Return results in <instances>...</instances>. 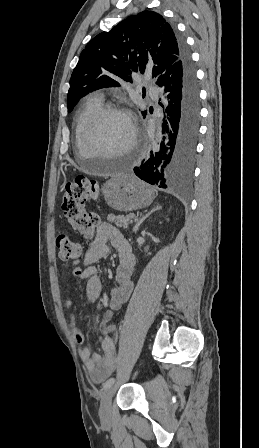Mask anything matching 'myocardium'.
Returning a JSON list of instances; mask_svg holds the SVG:
<instances>
[{"label":"myocardium","instance_id":"obj_1","mask_svg":"<svg viewBox=\"0 0 259 448\" xmlns=\"http://www.w3.org/2000/svg\"><path fill=\"white\" fill-rule=\"evenodd\" d=\"M113 114L124 117L129 122L132 130L130 143L125 149L121 150V153L131 150L136 145L138 131L130 113L128 112L126 107L122 104H109V105H103L84 125L81 135V142L83 149H99L94 144L93 141L94 132L99 123L105 117ZM77 157H78V163H83L82 150L79 151Z\"/></svg>","mask_w":259,"mask_h":448}]
</instances>
